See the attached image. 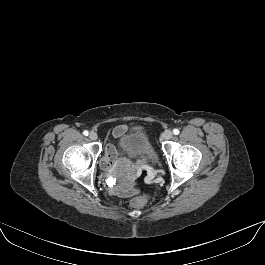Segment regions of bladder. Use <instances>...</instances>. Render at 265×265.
Masks as SVG:
<instances>
[{
	"label": "bladder",
	"mask_w": 265,
	"mask_h": 265,
	"mask_svg": "<svg viewBox=\"0 0 265 265\" xmlns=\"http://www.w3.org/2000/svg\"><path fill=\"white\" fill-rule=\"evenodd\" d=\"M115 157L144 158L151 164L159 161L157 152L149 138L141 132L121 136L114 145Z\"/></svg>",
	"instance_id": "1"
}]
</instances>
